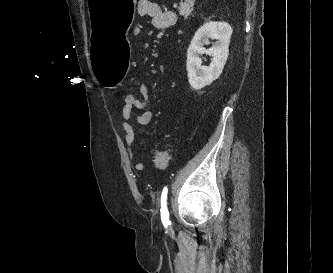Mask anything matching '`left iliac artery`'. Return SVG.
Returning a JSON list of instances; mask_svg holds the SVG:
<instances>
[{"instance_id":"1","label":"left iliac artery","mask_w":333,"mask_h":273,"mask_svg":"<svg viewBox=\"0 0 333 273\" xmlns=\"http://www.w3.org/2000/svg\"><path fill=\"white\" fill-rule=\"evenodd\" d=\"M167 194H168V188L164 187L161 193V221L164 225H167L170 223L169 221V211L167 208Z\"/></svg>"}]
</instances>
